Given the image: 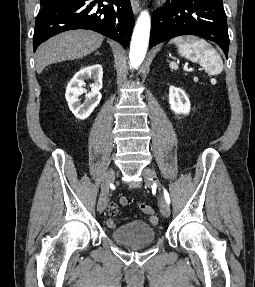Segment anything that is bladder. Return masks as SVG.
Returning <instances> with one entry per match:
<instances>
[{"label":"bladder","instance_id":"31cf9c89","mask_svg":"<svg viewBox=\"0 0 255 287\" xmlns=\"http://www.w3.org/2000/svg\"><path fill=\"white\" fill-rule=\"evenodd\" d=\"M109 237L123 245L148 244L156 239L157 231L144 221L134 220L109 230Z\"/></svg>","mask_w":255,"mask_h":287}]
</instances>
